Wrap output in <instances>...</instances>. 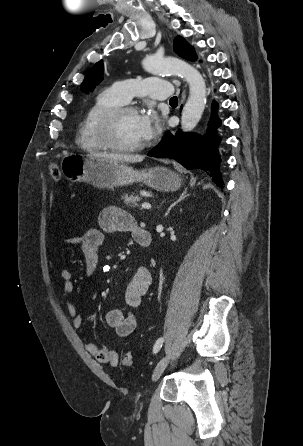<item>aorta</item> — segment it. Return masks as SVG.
<instances>
[{"instance_id":"1","label":"aorta","mask_w":303,"mask_h":446,"mask_svg":"<svg viewBox=\"0 0 303 446\" xmlns=\"http://www.w3.org/2000/svg\"><path fill=\"white\" fill-rule=\"evenodd\" d=\"M144 69L151 74H172L183 77L189 84V98L181 116L183 131H192L200 121L206 105V84L200 72L190 64L170 58L148 57Z\"/></svg>"}]
</instances>
